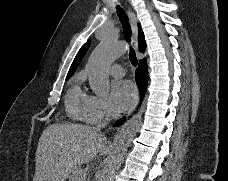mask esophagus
<instances>
[{
  "label": "esophagus",
  "instance_id": "obj_1",
  "mask_svg": "<svg viewBox=\"0 0 228 181\" xmlns=\"http://www.w3.org/2000/svg\"><path fill=\"white\" fill-rule=\"evenodd\" d=\"M129 13V17H130V22L132 25V29H133V33H134V48L137 50L138 49V42H137V19L136 16L134 14V12L132 10H128ZM139 103V99L134 103L133 107L129 110V112L127 113L126 116H128L133 110L134 108L138 105Z\"/></svg>",
  "mask_w": 228,
  "mask_h": 181
}]
</instances>
